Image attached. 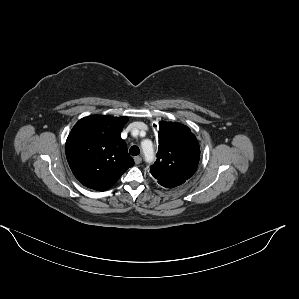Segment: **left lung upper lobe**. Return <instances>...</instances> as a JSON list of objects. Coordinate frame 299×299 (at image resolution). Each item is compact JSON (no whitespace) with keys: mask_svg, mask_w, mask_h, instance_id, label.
<instances>
[{"mask_svg":"<svg viewBox=\"0 0 299 299\" xmlns=\"http://www.w3.org/2000/svg\"><path fill=\"white\" fill-rule=\"evenodd\" d=\"M200 159L199 143L191 130L177 122H159L157 160L150 173L157 180L189 179Z\"/></svg>","mask_w":299,"mask_h":299,"instance_id":"5c2ea615","label":"left lung upper lobe"}]
</instances>
